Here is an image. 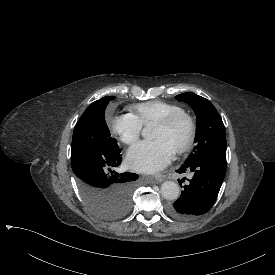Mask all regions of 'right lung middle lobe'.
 <instances>
[{
  "mask_svg": "<svg viewBox=\"0 0 275 275\" xmlns=\"http://www.w3.org/2000/svg\"><path fill=\"white\" fill-rule=\"evenodd\" d=\"M114 98L103 97L84 111L74 128L71 150V167L85 203L109 220L129 212L139 177L121 163V150L105 122V108Z\"/></svg>",
  "mask_w": 275,
  "mask_h": 275,
  "instance_id": "right-lung-middle-lobe-1",
  "label": "right lung middle lobe"
}]
</instances>
